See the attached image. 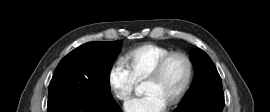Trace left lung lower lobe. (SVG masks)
I'll list each match as a JSON object with an SVG mask.
<instances>
[{
    "label": "left lung lower lobe",
    "instance_id": "obj_1",
    "mask_svg": "<svg viewBox=\"0 0 270 112\" xmlns=\"http://www.w3.org/2000/svg\"><path fill=\"white\" fill-rule=\"evenodd\" d=\"M224 97L210 96L200 102L179 106L173 112H222Z\"/></svg>",
    "mask_w": 270,
    "mask_h": 112
}]
</instances>
